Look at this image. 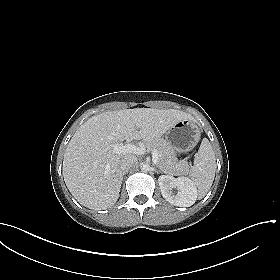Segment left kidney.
Here are the masks:
<instances>
[{
	"label": "left kidney",
	"instance_id": "left-kidney-1",
	"mask_svg": "<svg viewBox=\"0 0 280 280\" xmlns=\"http://www.w3.org/2000/svg\"><path fill=\"white\" fill-rule=\"evenodd\" d=\"M162 196L171 204L179 207H190L197 199V189L187 177L174 178L161 175L158 178ZM173 189H176L175 193Z\"/></svg>",
	"mask_w": 280,
	"mask_h": 280
}]
</instances>
